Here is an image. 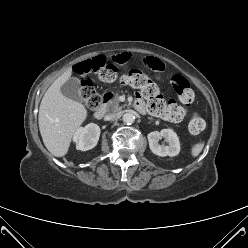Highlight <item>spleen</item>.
<instances>
[{
    "label": "spleen",
    "instance_id": "1",
    "mask_svg": "<svg viewBox=\"0 0 248 248\" xmlns=\"http://www.w3.org/2000/svg\"><path fill=\"white\" fill-rule=\"evenodd\" d=\"M204 147V142H198L191 147V156L197 157Z\"/></svg>",
    "mask_w": 248,
    "mask_h": 248
}]
</instances>
